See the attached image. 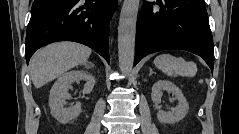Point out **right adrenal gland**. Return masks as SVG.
Wrapping results in <instances>:
<instances>
[{
    "mask_svg": "<svg viewBox=\"0 0 239 134\" xmlns=\"http://www.w3.org/2000/svg\"><path fill=\"white\" fill-rule=\"evenodd\" d=\"M89 62H86L85 63V66H87V64H88ZM90 66L92 67L93 66V64L92 63H90Z\"/></svg>",
    "mask_w": 239,
    "mask_h": 134,
    "instance_id": "2a0ac1e0",
    "label": "right adrenal gland"
}]
</instances>
